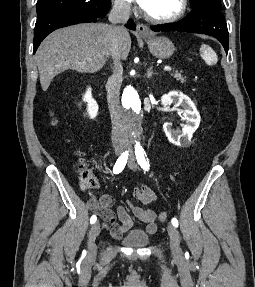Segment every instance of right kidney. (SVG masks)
Listing matches in <instances>:
<instances>
[{"mask_svg": "<svg viewBox=\"0 0 255 287\" xmlns=\"http://www.w3.org/2000/svg\"><path fill=\"white\" fill-rule=\"evenodd\" d=\"M83 100L84 102H87V112L91 120H93V118H96L98 114V104L92 98L91 88H88Z\"/></svg>", "mask_w": 255, "mask_h": 287, "instance_id": "obj_1", "label": "right kidney"}]
</instances>
